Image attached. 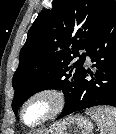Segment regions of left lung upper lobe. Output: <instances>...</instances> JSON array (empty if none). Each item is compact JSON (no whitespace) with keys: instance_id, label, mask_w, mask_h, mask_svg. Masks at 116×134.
<instances>
[{"instance_id":"5c2ea615","label":"left lung upper lobe","mask_w":116,"mask_h":134,"mask_svg":"<svg viewBox=\"0 0 116 134\" xmlns=\"http://www.w3.org/2000/svg\"><path fill=\"white\" fill-rule=\"evenodd\" d=\"M114 4V0H53L52 8L39 13L13 76L15 114L30 96L46 89L62 90L65 103L74 98L86 56L79 51L87 52Z\"/></svg>"}]
</instances>
